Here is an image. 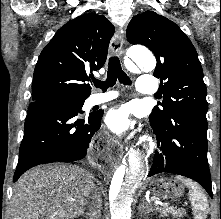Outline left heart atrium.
Wrapping results in <instances>:
<instances>
[{"mask_svg": "<svg viewBox=\"0 0 221 219\" xmlns=\"http://www.w3.org/2000/svg\"><path fill=\"white\" fill-rule=\"evenodd\" d=\"M131 109L126 105L111 108L107 111L105 122L115 133L122 134L134 126Z\"/></svg>", "mask_w": 221, "mask_h": 219, "instance_id": "left-heart-atrium-1", "label": "left heart atrium"}]
</instances>
